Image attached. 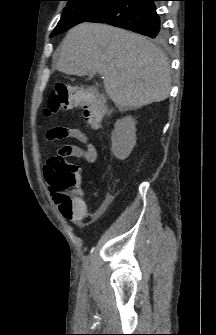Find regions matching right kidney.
<instances>
[{"label": "right kidney", "mask_w": 216, "mask_h": 335, "mask_svg": "<svg viewBox=\"0 0 216 335\" xmlns=\"http://www.w3.org/2000/svg\"><path fill=\"white\" fill-rule=\"evenodd\" d=\"M136 122L131 116L116 121L111 135V151L119 160H125L136 144Z\"/></svg>", "instance_id": "obj_1"}]
</instances>
